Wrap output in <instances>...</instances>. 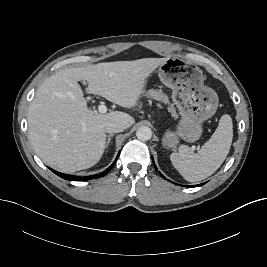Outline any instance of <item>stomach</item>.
I'll use <instances>...</instances> for the list:
<instances>
[{
    "mask_svg": "<svg viewBox=\"0 0 267 267\" xmlns=\"http://www.w3.org/2000/svg\"><path fill=\"white\" fill-rule=\"evenodd\" d=\"M162 83L172 89V100L181 119L175 130H168L163 144L176 147L180 139L197 141L202 134V123L211 118L218 107L216 92L204 85L202 70L182 58H167L158 68Z\"/></svg>",
    "mask_w": 267,
    "mask_h": 267,
    "instance_id": "stomach-1",
    "label": "stomach"
}]
</instances>
